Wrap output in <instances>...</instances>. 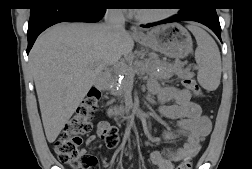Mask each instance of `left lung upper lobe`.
Returning a JSON list of instances; mask_svg holds the SVG:
<instances>
[{
	"label": "left lung upper lobe",
	"mask_w": 252,
	"mask_h": 169,
	"mask_svg": "<svg viewBox=\"0 0 252 169\" xmlns=\"http://www.w3.org/2000/svg\"><path fill=\"white\" fill-rule=\"evenodd\" d=\"M179 13H188L200 9L216 8L214 0H184Z\"/></svg>",
	"instance_id": "5c2ea615"
}]
</instances>
